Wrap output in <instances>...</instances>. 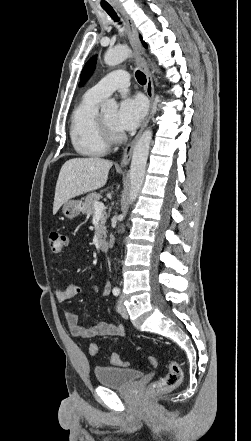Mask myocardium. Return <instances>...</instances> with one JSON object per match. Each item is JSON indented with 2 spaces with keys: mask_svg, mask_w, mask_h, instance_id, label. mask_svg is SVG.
<instances>
[{
  "mask_svg": "<svg viewBox=\"0 0 251 441\" xmlns=\"http://www.w3.org/2000/svg\"><path fill=\"white\" fill-rule=\"evenodd\" d=\"M98 124H99V129H100L101 135H102L104 141L108 145L119 143L124 139V136L121 133L114 132L107 125L102 114H100V113H99V117H98Z\"/></svg>",
  "mask_w": 251,
  "mask_h": 441,
  "instance_id": "myocardium-1",
  "label": "myocardium"
}]
</instances>
